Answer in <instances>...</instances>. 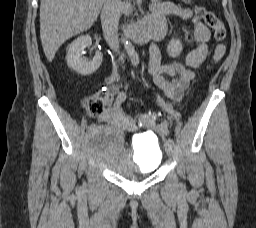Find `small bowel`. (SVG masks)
I'll use <instances>...</instances> for the list:
<instances>
[{"instance_id":"c3829d8e","label":"small bowel","mask_w":256,"mask_h":228,"mask_svg":"<svg viewBox=\"0 0 256 228\" xmlns=\"http://www.w3.org/2000/svg\"><path fill=\"white\" fill-rule=\"evenodd\" d=\"M168 16H178L185 20H191L193 29L190 34L191 40L197 43L186 56L185 62L172 61L161 62V51L153 43L149 47L148 74L154 84L171 100L180 101L185 90L195 78L194 68L200 66L208 55V42L211 38L209 28L204 25L192 11L182 8L171 2L156 0L152 4V15L147 19L158 26L163 34L166 29L165 19ZM162 34V36H163ZM165 76L169 77L167 79ZM104 110L99 119L102 122L112 125L116 129L132 127L134 120L122 108L121 104L126 98V89L120 90L117 84H112L104 89ZM116 99L113 100V97ZM157 133L165 134L168 131V124L162 123L154 127Z\"/></svg>"}]
</instances>
